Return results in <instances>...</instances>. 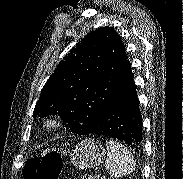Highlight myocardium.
<instances>
[{
	"label": "myocardium",
	"instance_id": "myocardium-1",
	"mask_svg": "<svg viewBox=\"0 0 183 179\" xmlns=\"http://www.w3.org/2000/svg\"><path fill=\"white\" fill-rule=\"evenodd\" d=\"M61 123H62V119L59 116L52 115V116H48L45 119L44 126L47 129H53L60 126Z\"/></svg>",
	"mask_w": 183,
	"mask_h": 179
}]
</instances>
